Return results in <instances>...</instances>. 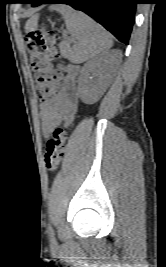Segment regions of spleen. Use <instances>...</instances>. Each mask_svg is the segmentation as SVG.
Wrapping results in <instances>:
<instances>
[{"label": "spleen", "mask_w": 166, "mask_h": 267, "mask_svg": "<svg viewBox=\"0 0 166 267\" xmlns=\"http://www.w3.org/2000/svg\"><path fill=\"white\" fill-rule=\"evenodd\" d=\"M50 9L63 16L66 28L76 40L67 53L71 62H85L112 47L113 42L109 33L88 15L76 11L68 5H53ZM33 25L35 26L36 22H33Z\"/></svg>", "instance_id": "1"}]
</instances>
